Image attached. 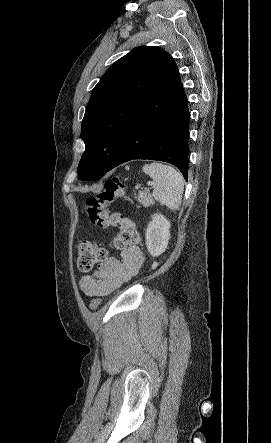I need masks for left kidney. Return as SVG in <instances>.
I'll return each mask as SVG.
<instances>
[{"mask_svg": "<svg viewBox=\"0 0 271 443\" xmlns=\"http://www.w3.org/2000/svg\"><path fill=\"white\" fill-rule=\"evenodd\" d=\"M170 222L162 214H154L152 222L146 229V247L153 255H160L165 251L170 237Z\"/></svg>", "mask_w": 271, "mask_h": 443, "instance_id": "1", "label": "left kidney"}]
</instances>
